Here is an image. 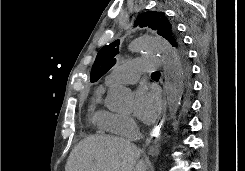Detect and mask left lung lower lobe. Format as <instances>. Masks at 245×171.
I'll list each match as a JSON object with an SVG mask.
<instances>
[{
  "instance_id": "1",
  "label": "left lung lower lobe",
  "mask_w": 245,
  "mask_h": 171,
  "mask_svg": "<svg viewBox=\"0 0 245 171\" xmlns=\"http://www.w3.org/2000/svg\"><path fill=\"white\" fill-rule=\"evenodd\" d=\"M176 67H180L181 79L183 80V83H185V85H188L191 62L190 61H177Z\"/></svg>"
}]
</instances>
